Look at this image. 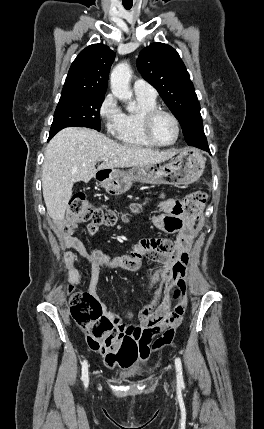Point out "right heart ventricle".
<instances>
[{"label": "right heart ventricle", "instance_id": "1", "mask_svg": "<svg viewBox=\"0 0 264 429\" xmlns=\"http://www.w3.org/2000/svg\"><path fill=\"white\" fill-rule=\"evenodd\" d=\"M137 109L134 111L122 112L121 120L114 135L115 138L127 145L139 147H155L144 134L143 116L144 114L158 107L157 100L153 97L136 95Z\"/></svg>", "mask_w": 264, "mask_h": 429}]
</instances>
